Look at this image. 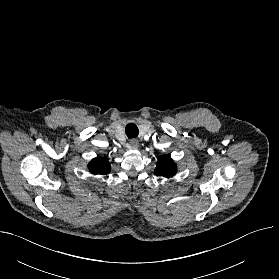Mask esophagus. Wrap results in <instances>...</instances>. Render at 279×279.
Wrapping results in <instances>:
<instances>
[{"label": "esophagus", "mask_w": 279, "mask_h": 279, "mask_svg": "<svg viewBox=\"0 0 279 279\" xmlns=\"http://www.w3.org/2000/svg\"><path fill=\"white\" fill-rule=\"evenodd\" d=\"M130 148L137 149L139 147V142L136 139H132L129 142Z\"/></svg>", "instance_id": "obj_1"}]
</instances>
